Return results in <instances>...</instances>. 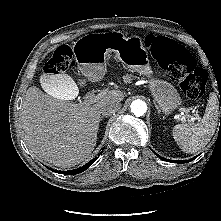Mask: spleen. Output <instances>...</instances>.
<instances>
[{
  "mask_svg": "<svg viewBox=\"0 0 221 221\" xmlns=\"http://www.w3.org/2000/svg\"><path fill=\"white\" fill-rule=\"evenodd\" d=\"M216 95L211 94L205 114L200 122L195 124L181 123L173 128V138L182 151L196 153L205 147L214 135L218 125V103Z\"/></svg>",
  "mask_w": 221,
  "mask_h": 221,
  "instance_id": "3e777b00",
  "label": "spleen"
}]
</instances>
